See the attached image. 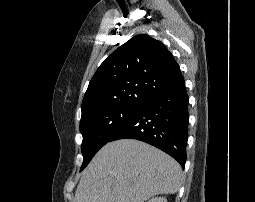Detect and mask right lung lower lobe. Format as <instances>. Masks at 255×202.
Returning a JSON list of instances; mask_svg holds the SVG:
<instances>
[{
	"mask_svg": "<svg viewBox=\"0 0 255 202\" xmlns=\"http://www.w3.org/2000/svg\"><path fill=\"white\" fill-rule=\"evenodd\" d=\"M188 101L185 84L154 96L140 106L110 141L125 138L144 141L172 156L184 168Z\"/></svg>",
	"mask_w": 255,
	"mask_h": 202,
	"instance_id": "98d812e1",
	"label": "right lung lower lobe"
}]
</instances>
